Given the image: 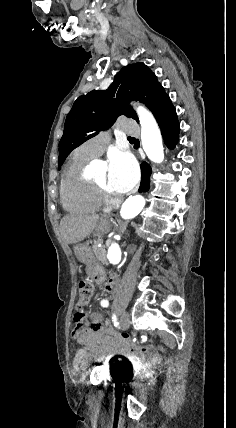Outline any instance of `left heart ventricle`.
Masks as SVG:
<instances>
[{"instance_id": "left-heart-ventricle-1", "label": "left heart ventricle", "mask_w": 236, "mask_h": 428, "mask_svg": "<svg viewBox=\"0 0 236 428\" xmlns=\"http://www.w3.org/2000/svg\"><path fill=\"white\" fill-rule=\"evenodd\" d=\"M94 179L96 181L104 184L112 194L119 195V193H117L116 191H114V189L110 185V182H109V171H108L107 167L105 168V170H103L100 173H98Z\"/></svg>"}]
</instances>
